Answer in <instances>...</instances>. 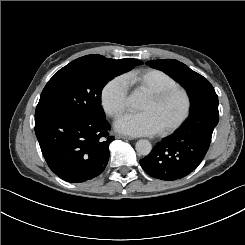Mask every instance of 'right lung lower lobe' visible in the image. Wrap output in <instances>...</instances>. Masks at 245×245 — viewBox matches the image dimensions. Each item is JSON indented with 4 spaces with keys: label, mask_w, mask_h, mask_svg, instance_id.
Wrapping results in <instances>:
<instances>
[{
    "label": "right lung lower lobe",
    "mask_w": 245,
    "mask_h": 245,
    "mask_svg": "<svg viewBox=\"0 0 245 245\" xmlns=\"http://www.w3.org/2000/svg\"><path fill=\"white\" fill-rule=\"evenodd\" d=\"M110 124L83 116L52 113L35 117V133L49 168L71 183L91 180L109 160Z\"/></svg>",
    "instance_id": "1"
}]
</instances>
